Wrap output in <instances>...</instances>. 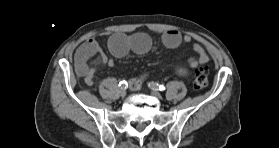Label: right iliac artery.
I'll use <instances>...</instances> for the list:
<instances>
[{
	"mask_svg": "<svg viewBox=\"0 0 279 148\" xmlns=\"http://www.w3.org/2000/svg\"><path fill=\"white\" fill-rule=\"evenodd\" d=\"M119 86H121V89H126L127 88V82L125 80H123L119 83Z\"/></svg>",
	"mask_w": 279,
	"mask_h": 148,
	"instance_id": "1",
	"label": "right iliac artery"
}]
</instances>
